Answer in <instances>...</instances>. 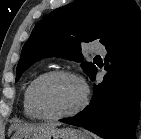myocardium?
I'll list each match as a JSON object with an SVG mask.
<instances>
[{
    "label": "myocardium",
    "mask_w": 141,
    "mask_h": 139,
    "mask_svg": "<svg viewBox=\"0 0 141 139\" xmlns=\"http://www.w3.org/2000/svg\"><path fill=\"white\" fill-rule=\"evenodd\" d=\"M53 77H69L73 78L76 81L79 82L82 88V96L79 101V103L72 108L69 111L59 113V114H49L44 109L41 107L39 100H38V91L40 86L47 81L48 79H51ZM89 100V88L82 76L79 74L71 71V70H66V69H55V70H50L47 71L43 74H41L32 84L31 89H30V104L35 111V113L41 118L45 120H59L63 118H68L72 117L79 112H81L87 105Z\"/></svg>",
    "instance_id": "obj_1"
}]
</instances>
